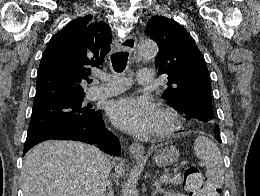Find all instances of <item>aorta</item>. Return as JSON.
<instances>
[{
	"instance_id": "1",
	"label": "aorta",
	"mask_w": 260,
	"mask_h": 196,
	"mask_svg": "<svg viewBox=\"0 0 260 196\" xmlns=\"http://www.w3.org/2000/svg\"><path fill=\"white\" fill-rule=\"evenodd\" d=\"M138 53L145 58H153L158 53V46L151 40L143 41L138 45ZM133 189H127L126 196H133Z\"/></svg>"
}]
</instances>
